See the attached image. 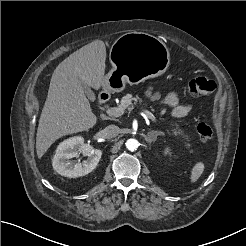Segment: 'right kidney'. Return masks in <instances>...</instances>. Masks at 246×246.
Wrapping results in <instances>:
<instances>
[{"label": "right kidney", "mask_w": 246, "mask_h": 246, "mask_svg": "<svg viewBox=\"0 0 246 246\" xmlns=\"http://www.w3.org/2000/svg\"><path fill=\"white\" fill-rule=\"evenodd\" d=\"M88 158L82 163H73L71 158H78L80 154ZM102 151L90 144H85L81 136L70 137L61 142L52 158L53 169L61 176L76 178L89 174L98 165Z\"/></svg>", "instance_id": "1"}]
</instances>
